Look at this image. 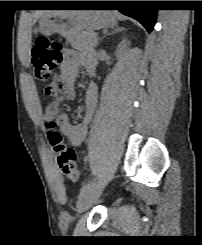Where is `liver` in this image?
Returning a JSON list of instances; mask_svg holds the SVG:
<instances>
[{"label":"liver","mask_w":202,"mask_h":245,"mask_svg":"<svg viewBox=\"0 0 202 245\" xmlns=\"http://www.w3.org/2000/svg\"><path fill=\"white\" fill-rule=\"evenodd\" d=\"M60 13H64V14H67V13H76L78 11H59ZM46 12L42 11V10H39L35 13V16H34V21H36L38 18H40L43 14H45Z\"/></svg>","instance_id":"1"}]
</instances>
